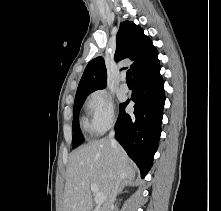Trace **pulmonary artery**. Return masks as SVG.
Masks as SVG:
<instances>
[{"label": "pulmonary artery", "instance_id": "1", "mask_svg": "<svg viewBox=\"0 0 221 211\" xmlns=\"http://www.w3.org/2000/svg\"><path fill=\"white\" fill-rule=\"evenodd\" d=\"M120 88L124 92H127L129 90V87H128V84L126 83V79L124 75L121 77Z\"/></svg>", "mask_w": 221, "mask_h": 211}]
</instances>
